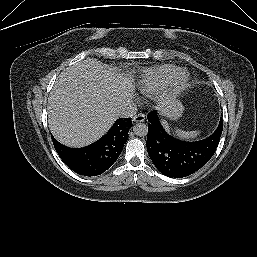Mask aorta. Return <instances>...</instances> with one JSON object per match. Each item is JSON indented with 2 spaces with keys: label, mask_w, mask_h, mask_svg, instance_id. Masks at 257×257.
Returning <instances> with one entry per match:
<instances>
[{
  "label": "aorta",
  "mask_w": 257,
  "mask_h": 257,
  "mask_svg": "<svg viewBox=\"0 0 257 257\" xmlns=\"http://www.w3.org/2000/svg\"><path fill=\"white\" fill-rule=\"evenodd\" d=\"M133 132L140 137H144L148 133V127L144 123H137L133 126Z\"/></svg>",
  "instance_id": "1"
}]
</instances>
